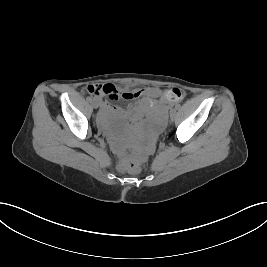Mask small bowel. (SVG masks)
<instances>
[{
    "instance_id": "small-bowel-1",
    "label": "small bowel",
    "mask_w": 267,
    "mask_h": 267,
    "mask_svg": "<svg viewBox=\"0 0 267 267\" xmlns=\"http://www.w3.org/2000/svg\"><path fill=\"white\" fill-rule=\"evenodd\" d=\"M87 91L92 95L93 100L102 104L104 107L113 109L106 101L103 100L102 95L92 94V85L87 86ZM142 99L137 100L141 97ZM126 97L131 100L130 108H135L140 110L142 108H147L151 115L163 114L168 107L172 106L176 100L173 99L170 91H163L159 88H143L137 89L126 94ZM118 112H122V109L115 108Z\"/></svg>"
}]
</instances>
